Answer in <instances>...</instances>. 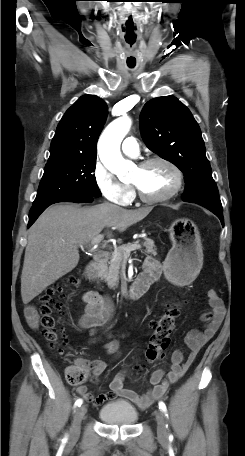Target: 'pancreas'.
<instances>
[{"label": "pancreas", "mask_w": 245, "mask_h": 456, "mask_svg": "<svg viewBox=\"0 0 245 456\" xmlns=\"http://www.w3.org/2000/svg\"><path fill=\"white\" fill-rule=\"evenodd\" d=\"M139 241L133 243H128L117 247L115 252H111L108 255V264L104 266L101 277L107 282V285L110 289H114L118 286L119 279L123 286H126L127 279L124 278L121 274V268L123 265V260L126 256L124 248H128L133 244H138ZM143 246L145 250L143 253L150 254L153 256L157 255V251L154 245V241L149 238H144Z\"/></svg>", "instance_id": "obj_1"}]
</instances>
